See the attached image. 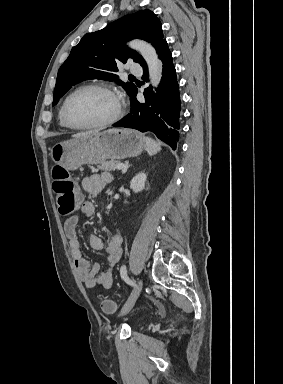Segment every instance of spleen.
I'll return each mask as SVG.
<instances>
[{
    "label": "spleen",
    "instance_id": "spleen-1",
    "mask_svg": "<svg viewBox=\"0 0 283 384\" xmlns=\"http://www.w3.org/2000/svg\"><path fill=\"white\" fill-rule=\"evenodd\" d=\"M145 140V150L148 152L149 156H154L157 152H160L161 148L155 140H151V138H144Z\"/></svg>",
    "mask_w": 283,
    "mask_h": 384
}]
</instances>
